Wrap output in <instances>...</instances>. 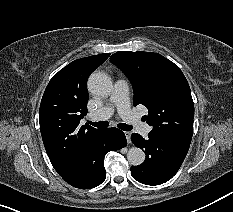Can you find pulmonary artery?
Listing matches in <instances>:
<instances>
[{"label":"pulmonary artery","instance_id":"1","mask_svg":"<svg viewBox=\"0 0 233 212\" xmlns=\"http://www.w3.org/2000/svg\"><path fill=\"white\" fill-rule=\"evenodd\" d=\"M115 109L123 120L135 124L142 135L145 136L151 131V127L148 124L140 122L138 117L132 112L128 97V85L123 79H119L115 82L109 104L91 113L89 118L92 121L108 119Z\"/></svg>","mask_w":233,"mask_h":212}]
</instances>
